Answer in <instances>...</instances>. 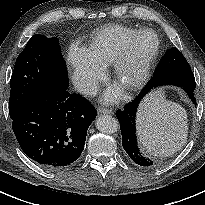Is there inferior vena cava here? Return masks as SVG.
I'll use <instances>...</instances> for the list:
<instances>
[{
    "label": "inferior vena cava",
    "instance_id": "1",
    "mask_svg": "<svg viewBox=\"0 0 205 205\" xmlns=\"http://www.w3.org/2000/svg\"><path fill=\"white\" fill-rule=\"evenodd\" d=\"M75 89L86 95H96L98 92V84L90 80H78L75 82Z\"/></svg>",
    "mask_w": 205,
    "mask_h": 205
}]
</instances>
